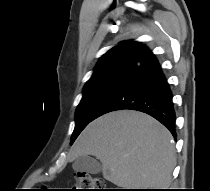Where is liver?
<instances>
[{
    "mask_svg": "<svg viewBox=\"0 0 210 191\" xmlns=\"http://www.w3.org/2000/svg\"><path fill=\"white\" fill-rule=\"evenodd\" d=\"M93 155L103 176L118 187H169L176 164L171 133L151 116L119 110L92 121L77 138L68 160Z\"/></svg>",
    "mask_w": 210,
    "mask_h": 191,
    "instance_id": "6515ba94",
    "label": "liver"
}]
</instances>
